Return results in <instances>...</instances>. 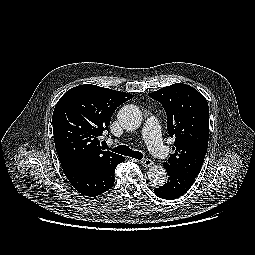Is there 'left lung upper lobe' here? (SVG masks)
Segmentation results:
<instances>
[{
  "mask_svg": "<svg viewBox=\"0 0 255 255\" xmlns=\"http://www.w3.org/2000/svg\"><path fill=\"white\" fill-rule=\"evenodd\" d=\"M167 115V129L175 137V152L167 164L195 178L200 172L209 139V108L205 97L193 87L176 83L149 94Z\"/></svg>",
  "mask_w": 255,
  "mask_h": 255,
  "instance_id": "1",
  "label": "left lung upper lobe"
}]
</instances>
